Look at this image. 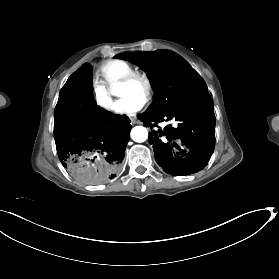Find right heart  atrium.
<instances>
[{
  "label": "right heart atrium",
  "instance_id": "d8ad5b80",
  "mask_svg": "<svg viewBox=\"0 0 279 279\" xmlns=\"http://www.w3.org/2000/svg\"><path fill=\"white\" fill-rule=\"evenodd\" d=\"M94 100L97 107L103 112H112L114 101L109 90L99 81L93 84Z\"/></svg>",
  "mask_w": 279,
  "mask_h": 279
}]
</instances>
